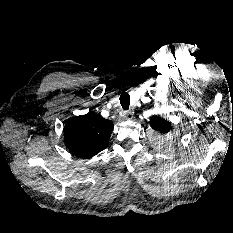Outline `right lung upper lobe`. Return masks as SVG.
Returning a JSON list of instances; mask_svg holds the SVG:
<instances>
[{"mask_svg": "<svg viewBox=\"0 0 233 233\" xmlns=\"http://www.w3.org/2000/svg\"><path fill=\"white\" fill-rule=\"evenodd\" d=\"M113 130V123L96 114L76 116L64 127L67 148L77 157L91 158L104 150Z\"/></svg>", "mask_w": 233, "mask_h": 233, "instance_id": "obj_1", "label": "right lung upper lobe"}]
</instances>
